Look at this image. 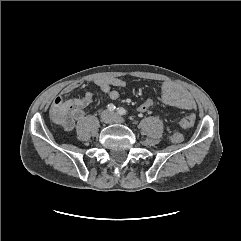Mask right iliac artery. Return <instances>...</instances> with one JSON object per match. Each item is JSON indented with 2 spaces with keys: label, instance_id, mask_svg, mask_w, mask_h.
Here are the masks:
<instances>
[{
  "label": "right iliac artery",
  "instance_id": "82829eb1",
  "mask_svg": "<svg viewBox=\"0 0 241 241\" xmlns=\"http://www.w3.org/2000/svg\"><path fill=\"white\" fill-rule=\"evenodd\" d=\"M115 105L114 104H108V106H107V109L109 110V111H114L115 110Z\"/></svg>",
  "mask_w": 241,
  "mask_h": 241
}]
</instances>
